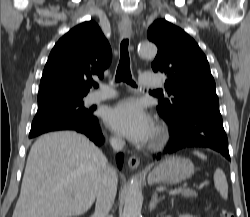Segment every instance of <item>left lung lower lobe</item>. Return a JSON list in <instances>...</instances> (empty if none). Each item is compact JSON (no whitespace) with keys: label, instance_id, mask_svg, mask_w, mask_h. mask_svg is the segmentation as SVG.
Masks as SVG:
<instances>
[{"label":"left lung lower lobe","instance_id":"1","mask_svg":"<svg viewBox=\"0 0 250 217\" xmlns=\"http://www.w3.org/2000/svg\"><path fill=\"white\" fill-rule=\"evenodd\" d=\"M163 119L170 126L171 137L164 154H171L188 147H206L220 152L230 160L219 102L186 108L178 118L171 121ZM160 158L161 154L157 156V159Z\"/></svg>","mask_w":250,"mask_h":217}]
</instances>
